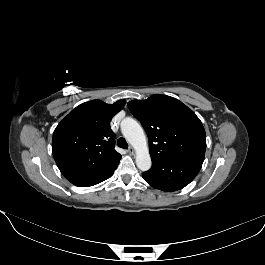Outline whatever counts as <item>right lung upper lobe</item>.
Returning a JSON list of instances; mask_svg holds the SVG:
<instances>
[{
  "instance_id": "1",
  "label": "right lung upper lobe",
  "mask_w": 265,
  "mask_h": 265,
  "mask_svg": "<svg viewBox=\"0 0 265 265\" xmlns=\"http://www.w3.org/2000/svg\"><path fill=\"white\" fill-rule=\"evenodd\" d=\"M125 102H85L58 124L53 134L52 152L61 172L88 167L108 168L120 161L121 155L114 150L115 134L110 128V120L123 109Z\"/></svg>"
}]
</instances>
